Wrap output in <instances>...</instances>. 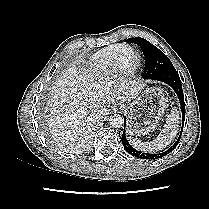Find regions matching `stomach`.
<instances>
[{"label": "stomach", "instance_id": "obj_1", "mask_svg": "<svg viewBox=\"0 0 209 209\" xmlns=\"http://www.w3.org/2000/svg\"><path fill=\"white\" fill-rule=\"evenodd\" d=\"M167 99L158 87L147 88L127 106V131L130 135H146L152 132L167 108Z\"/></svg>", "mask_w": 209, "mask_h": 209}]
</instances>
